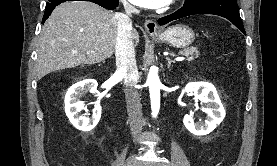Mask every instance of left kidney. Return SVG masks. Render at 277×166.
<instances>
[{
	"label": "left kidney",
	"instance_id": "5707ae66",
	"mask_svg": "<svg viewBox=\"0 0 277 166\" xmlns=\"http://www.w3.org/2000/svg\"><path fill=\"white\" fill-rule=\"evenodd\" d=\"M185 92L193 93L201 102L207 103V108L202 109L207 114L205 122L194 123L191 115H185L183 123L186 129L197 136L209 134L223 121L226 114L216 88L208 82H191L186 85Z\"/></svg>",
	"mask_w": 277,
	"mask_h": 166
}]
</instances>
